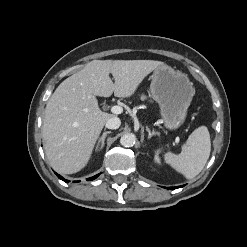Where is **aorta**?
Segmentation results:
<instances>
[{
	"mask_svg": "<svg viewBox=\"0 0 247 247\" xmlns=\"http://www.w3.org/2000/svg\"><path fill=\"white\" fill-rule=\"evenodd\" d=\"M136 136L133 133H125L120 139L121 145L124 147H132L135 145Z\"/></svg>",
	"mask_w": 247,
	"mask_h": 247,
	"instance_id": "obj_1",
	"label": "aorta"
}]
</instances>
